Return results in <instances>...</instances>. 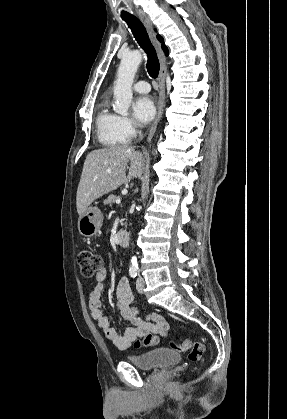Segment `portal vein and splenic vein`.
Wrapping results in <instances>:
<instances>
[{"mask_svg":"<svg viewBox=\"0 0 287 419\" xmlns=\"http://www.w3.org/2000/svg\"><path fill=\"white\" fill-rule=\"evenodd\" d=\"M116 203H117V204H120V203H121V200H120V199H117V200H116Z\"/></svg>","mask_w":287,"mask_h":419,"instance_id":"18ae733b","label":"portal vein and splenic vein"}]
</instances>
